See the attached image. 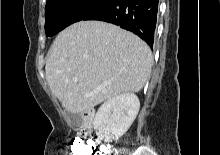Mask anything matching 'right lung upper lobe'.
I'll return each mask as SVG.
<instances>
[{"label":"right lung upper lobe","mask_w":220,"mask_h":155,"mask_svg":"<svg viewBox=\"0 0 220 155\" xmlns=\"http://www.w3.org/2000/svg\"><path fill=\"white\" fill-rule=\"evenodd\" d=\"M52 0H47V3L51 2Z\"/></svg>","instance_id":"1"}]
</instances>
